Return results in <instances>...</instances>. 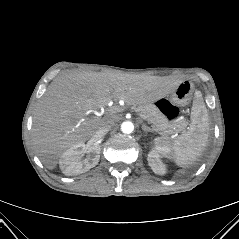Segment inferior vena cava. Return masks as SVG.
Returning <instances> with one entry per match:
<instances>
[{
	"instance_id": "1",
	"label": "inferior vena cava",
	"mask_w": 239,
	"mask_h": 239,
	"mask_svg": "<svg viewBox=\"0 0 239 239\" xmlns=\"http://www.w3.org/2000/svg\"><path fill=\"white\" fill-rule=\"evenodd\" d=\"M113 126V122L112 121H105L101 124V126L99 127V129L96 131V135L98 136H103L105 135L110 128Z\"/></svg>"
}]
</instances>
